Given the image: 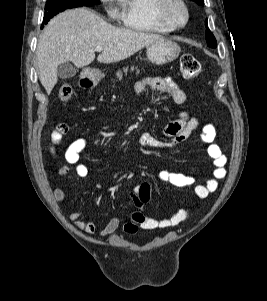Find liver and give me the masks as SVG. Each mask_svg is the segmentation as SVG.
I'll list each match as a JSON object with an SVG mask.
<instances>
[{
	"mask_svg": "<svg viewBox=\"0 0 267 301\" xmlns=\"http://www.w3.org/2000/svg\"><path fill=\"white\" fill-rule=\"evenodd\" d=\"M162 39L158 34L118 28L86 8L67 10L54 17L40 35L37 46L39 79L47 94L58 81L57 68L72 62L86 67L95 59V48L102 47L100 63L127 59L143 47Z\"/></svg>",
	"mask_w": 267,
	"mask_h": 301,
	"instance_id": "liver-1",
	"label": "liver"
}]
</instances>
